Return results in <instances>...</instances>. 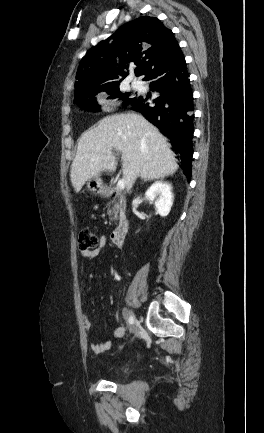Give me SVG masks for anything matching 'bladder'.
Returning <instances> with one entry per match:
<instances>
[{
  "label": "bladder",
  "instance_id": "obj_1",
  "mask_svg": "<svg viewBox=\"0 0 264 433\" xmlns=\"http://www.w3.org/2000/svg\"><path fill=\"white\" fill-rule=\"evenodd\" d=\"M123 371H124V368H122V369H118V370L115 371V374L118 375V374H120V373L123 372Z\"/></svg>",
  "mask_w": 264,
  "mask_h": 433
}]
</instances>
